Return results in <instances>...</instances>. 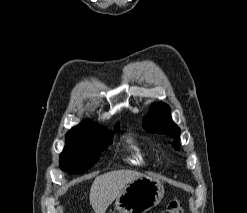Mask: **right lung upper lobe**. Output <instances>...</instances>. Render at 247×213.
<instances>
[{"label": "right lung upper lobe", "mask_w": 247, "mask_h": 213, "mask_svg": "<svg viewBox=\"0 0 247 213\" xmlns=\"http://www.w3.org/2000/svg\"><path fill=\"white\" fill-rule=\"evenodd\" d=\"M101 129L102 128H100L96 123L84 120L79 125L72 128L66 136H85L98 133Z\"/></svg>", "instance_id": "cb5924a9"}]
</instances>
